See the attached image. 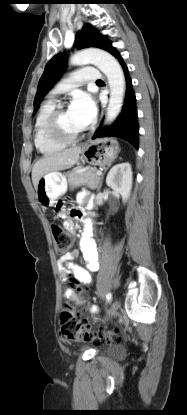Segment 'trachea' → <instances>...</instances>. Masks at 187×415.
<instances>
[{"mask_svg":"<svg viewBox=\"0 0 187 415\" xmlns=\"http://www.w3.org/2000/svg\"><path fill=\"white\" fill-rule=\"evenodd\" d=\"M102 82V80H98V81H96V83H101Z\"/></svg>","mask_w":187,"mask_h":415,"instance_id":"obj_1","label":"trachea"}]
</instances>
